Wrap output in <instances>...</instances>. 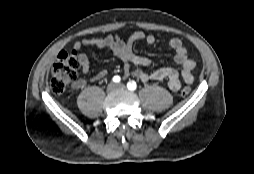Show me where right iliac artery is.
<instances>
[{"label":"right iliac artery","instance_id":"obj_1","mask_svg":"<svg viewBox=\"0 0 254 174\" xmlns=\"http://www.w3.org/2000/svg\"><path fill=\"white\" fill-rule=\"evenodd\" d=\"M120 80H121V78H120L119 76H114V77H113V81H114L115 83L120 82Z\"/></svg>","mask_w":254,"mask_h":174}]
</instances>
